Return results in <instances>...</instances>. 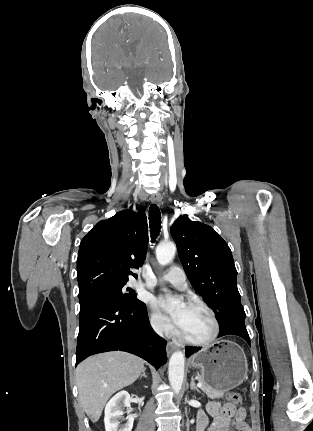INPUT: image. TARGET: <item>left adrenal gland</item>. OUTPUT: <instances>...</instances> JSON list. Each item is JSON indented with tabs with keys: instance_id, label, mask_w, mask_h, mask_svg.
Returning <instances> with one entry per match:
<instances>
[{
	"instance_id": "1",
	"label": "left adrenal gland",
	"mask_w": 313,
	"mask_h": 431,
	"mask_svg": "<svg viewBox=\"0 0 313 431\" xmlns=\"http://www.w3.org/2000/svg\"><path fill=\"white\" fill-rule=\"evenodd\" d=\"M190 389L200 393V390L198 389V387L195 384V380H194L193 376L191 377Z\"/></svg>"
}]
</instances>
